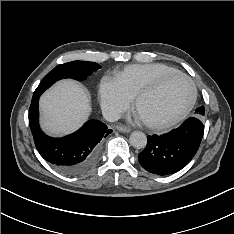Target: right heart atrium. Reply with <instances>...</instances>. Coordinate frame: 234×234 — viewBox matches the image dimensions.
Wrapping results in <instances>:
<instances>
[{"mask_svg":"<svg viewBox=\"0 0 234 234\" xmlns=\"http://www.w3.org/2000/svg\"><path fill=\"white\" fill-rule=\"evenodd\" d=\"M102 109L111 118L119 117L131 105L130 98L114 77L104 76L99 86Z\"/></svg>","mask_w":234,"mask_h":234,"instance_id":"1","label":"right heart atrium"}]
</instances>
